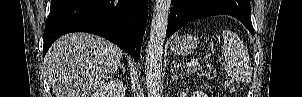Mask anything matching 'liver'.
I'll use <instances>...</instances> for the list:
<instances>
[{
	"label": "liver",
	"mask_w": 302,
	"mask_h": 97,
	"mask_svg": "<svg viewBox=\"0 0 302 97\" xmlns=\"http://www.w3.org/2000/svg\"><path fill=\"white\" fill-rule=\"evenodd\" d=\"M122 50L88 33L59 38L45 56L49 81L56 97H89L118 69Z\"/></svg>",
	"instance_id": "liver-1"
}]
</instances>
